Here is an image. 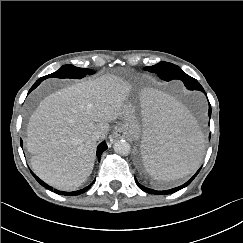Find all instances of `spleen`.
Returning <instances> with one entry per match:
<instances>
[{
    "mask_svg": "<svg viewBox=\"0 0 243 243\" xmlns=\"http://www.w3.org/2000/svg\"><path fill=\"white\" fill-rule=\"evenodd\" d=\"M139 148L150 176L171 181L197 169L205 142L197 121L179 102L145 90L141 95Z\"/></svg>",
    "mask_w": 243,
    "mask_h": 243,
    "instance_id": "spleen-1",
    "label": "spleen"
}]
</instances>
